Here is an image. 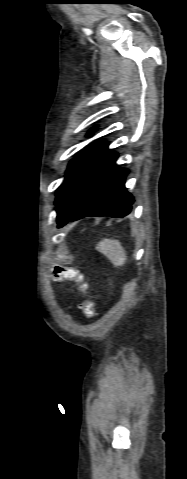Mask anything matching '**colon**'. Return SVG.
<instances>
[{
    "label": "colon",
    "mask_w": 187,
    "mask_h": 479,
    "mask_svg": "<svg viewBox=\"0 0 187 479\" xmlns=\"http://www.w3.org/2000/svg\"><path fill=\"white\" fill-rule=\"evenodd\" d=\"M53 273H54V276L62 277V278H71L76 276V271L67 267H62V266H56L54 268ZM75 282H76L77 291L83 295H86L87 286L84 283H82L79 278H77ZM81 306H82L83 314L87 319H92L95 317L96 315L95 304L90 298L86 297L83 300Z\"/></svg>",
    "instance_id": "colon-1"
}]
</instances>
